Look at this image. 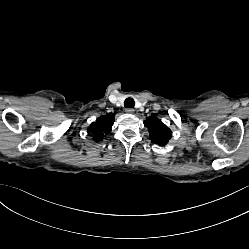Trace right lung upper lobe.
I'll list each match as a JSON object with an SVG mask.
<instances>
[{"label":"right lung upper lobe","mask_w":249,"mask_h":249,"mask_svg":"<svg viewBox=\"0 0 249 249\" xmlns=\"http://www.w3.org/2000/svg\"><path fill=\"white\" fill-rule=\"evenodd\" d=\"M114 120L115 115L112 113L103 115L89 126L88 133L91 134L95 142L102 141L103 137L110 133Z\"/></svg>","instance_id":"cb5924a9"}]
</instances>
